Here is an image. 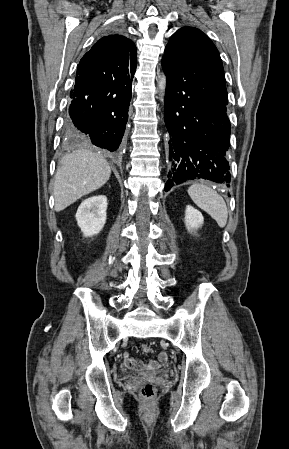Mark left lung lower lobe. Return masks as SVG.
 Masks as SVG:
<instances>
[{
    "label": "left lung lower lobe",
    "instance_id": "1",
    "mask_svg": "<svg viewBox=\"0 0 289 449\" xmlns=\"http://www.w3.org/2000/svg\"><path fill=\"white\" fill-rule=\"evenodd\" d=\"M162 67L167 77L164 119L170 161L165 191L195 178L229 186L227 90L185 60L164 55Z\"/></svg>",
    "mask_w": 289,
    "mask_h": 449
}]
</instances>
